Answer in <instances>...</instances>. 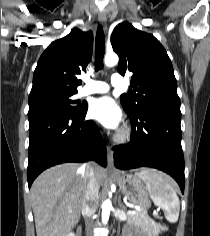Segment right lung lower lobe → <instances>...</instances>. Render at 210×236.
<instances>
[{
  "mask_svg": "<svg viewBox=\"0 0 210 236\" xmlns=\"http://www.w3.org/2000/svg\"><path fill=\"white\" fill-rule=\"evenodd\" d=\"M81 114L51 112L29 119V188L45 169L65 162L95 160L107 165V151L92 120Z\"/></svg>",
  "mask_w": 210,
  "mask_h": 236,
  "instance_id": "1",
  "label": "right lung lower lobe"
}]
</instances>
